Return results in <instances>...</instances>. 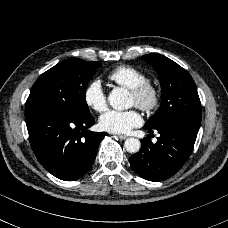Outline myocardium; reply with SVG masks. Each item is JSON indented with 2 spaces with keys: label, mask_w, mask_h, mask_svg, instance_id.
Returning <instances> with one entry per match:
<instances>
[{
  "label": "myocardium",
  "mask_w": 228,
  "mask_h": 228,
  "mask_svg": "<svg viewBox=\"0 0 228 228\" xmlns=\"http://www.w3.org/2000/svg\"><path fill=\"white\" fill-rule=\"evenodd\" d=\"M131 94L135 98V105L143 111L149 112L157 108L160 102V90L158 86L146 80L134 87Z\"/></svg>",
  "instance_id": "f54148a6"
}]
</instances>
